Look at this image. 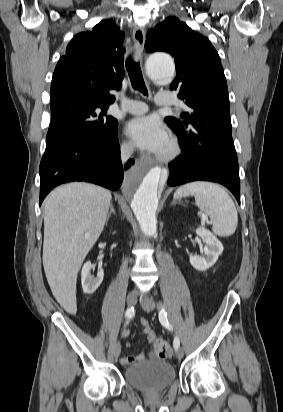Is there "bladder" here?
Listing matches in <instances>:
<instances>
[{"mask_svg": "<svg viewBox=\"0 0 283 412\" xmlns=\"http://www.w3.org/2000/svg\"><path fill=\"white\" fill-rule=\"evenodd\" d=\"M124 378L133 387L146 392L162 391L176 379L173 366L166 361H150L129 366Z\"/></svg>", "mask_w": 283, "mask_h": 412, "instance_id": "1", "label": "bladder"}]
</instances>
